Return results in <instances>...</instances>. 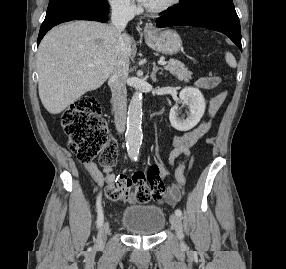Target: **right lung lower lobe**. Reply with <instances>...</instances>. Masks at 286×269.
<instances>
[{"instance_id":"obj_1","label":"right lung lower lobe","mask_w":286,"mask_h":269,"mask_svg":"<svg viewBox=\"0 0 286 269\" xmlns=\"http://www.w3.org/2000/svg\"><path fill=\"white\" fill-rule=\"evenodd\" d=\"M108 14L109 12L106 13L89 8H74L46 16L40 28L37 45H39L41 39L44 37L47 31L60 23L71 20H92L106 22L108 20Z\"/></svg>"}]
</instances>
